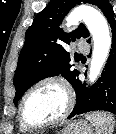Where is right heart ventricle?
Masks as SVG:
<instances>
[{
  "label": "right heart ventricle",
  "instance_id": "1",
  "mask_svg": "<svg viewBox=\"0 0 116 134\" xmlns=\"http://www.w3.org/2000/svg\"><path fill=\"white\" fill-rule=\"evenodd\" d=\"M19 128L22 132L29 131V128L25 127L21 122L19 123Z\"/></svg>",
  "mask_w": 116,
  "mask_h": 134
}]
</instances>
